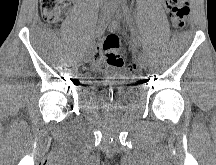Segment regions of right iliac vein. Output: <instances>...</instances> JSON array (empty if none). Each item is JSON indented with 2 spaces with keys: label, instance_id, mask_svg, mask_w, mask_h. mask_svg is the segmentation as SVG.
Wrapping results in <instances>:
<instances>
[{
  "label": "right iliac vein",
  "instance_id": "obj_1",
  "mask_svg": "<svg viewBox=\"0 0 216 165\" xmlns=\"http://www.w3.org/2000/svg\"><path fill=\"white\" fill-rule=\"evenodd\" d=\"M106 10L105 9L104 13L101 15V20H103L106 17ZM90 53L84 58L85 64H90V59H89Z\"/></svg>",
  "mask_w": 216,
  "mask_h": 165
}]
</instances>
